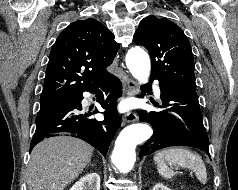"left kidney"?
Listing matches in <instances>:
<instances>
[{
  "label": "left kidney",
  "instance_id": "left-kidney-1",
  "mask_svg": "<svg viewBox=\"0 0 238 190\" xmlns=\"http://www.w3.org/2000/svg\"><path fill=\"white\" fill-rule=\"evenodd\" d=\"M153 190H172L168 187H166L165 185H163L162 183H157L154 187Z\"/></svg>",
  "mask_w": 238,
  "mask_h": 190
}]
</instances>
